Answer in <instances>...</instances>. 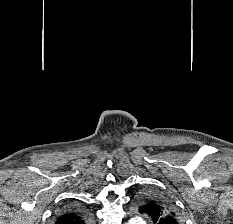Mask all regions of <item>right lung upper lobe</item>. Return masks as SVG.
<instances>
[{
	"label": "right lung upper lobe",
	"mask_w": 233,
	"mask_h": 224,
	"mask_svg": "<svg viewBox=\"0 0 233 224\" xmlns=\"http://www.w3.org/2000/svg\"><path fill=\"white\" fill-rule=\"evenodd\" d=\"M90 222L88 212L76 205L66 206L54 219V224H90Z\"/></svg>",
	"instance_id": "cb5924a9"
}]
</instances>
